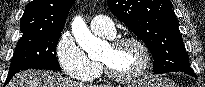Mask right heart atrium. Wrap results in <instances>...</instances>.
<instances>
[{
	"mask_svg": "<svg viewBox=\"0 0 205 87\" xmlns=\"http://www.w3.org/2000/svg\"><path fill=\"white\" fill-rule=\"evenodd\" d=\"M55 55L64 73L73 79L83 80L98 71L97 64L88 57L70 32H64L59 37Z\"/></svg>",
	"mask_w": 205,
	"mask_h": 87,
	"instance_id": "right-heart-atrium-1",
	"label": "right heart atrium"
}]
</instances>
